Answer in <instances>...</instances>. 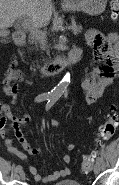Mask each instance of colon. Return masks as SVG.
<instances>
[{"instance_id": "colon-1", "label": "colon", "mask_w": 119, "mask_h": 185, "mask_svg": "<svg viewBox=\"0 0 119 185\" xmlns=\"http://www.w3.org/2000/svg\"><path fill=\"white\" fill-rule=\"evenodd\" d=\"M110 8L112 19L114 20L117 19L119 16V0H111ZM117 126H118L117 114L114 108H112V111L108 115L107 120L103 123V125L100 128L96 149L93 150L91 154L85 156L82 161L81 170L83 173L86 174L91 171L94 164L95 156L98 154V151L101 149L103 144L114 136Z\"/></svg>"}]
</instances>
